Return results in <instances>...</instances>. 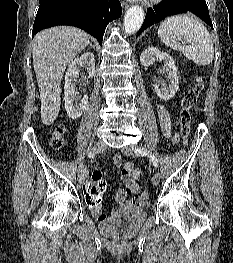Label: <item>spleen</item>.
Returning <instances> with one entry per match:
<instances>
[{
    "instance_id": "1",
    "label": "spleen",
    "mask_w": 233,
    "mask_h": 263,
    "mask_svg": "<svg viewBox=\"0 0 233 263\" xmlns=\"http://www.w3.org/2000/svg\"><path fill=\"white\" fill-rule=\"evenodd\" d=\"M161 42L181 52L197 65L207 66L213 61L214 47L210 33L192 14H180L165 19L158 29ZM184 38L188 45L180 43Z\"/></svg>"
}]
</instances>
